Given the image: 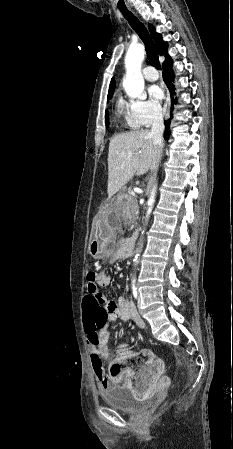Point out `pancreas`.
Masks as SVG:
<instances>
[{
    "label": "pancreas",
    "mask_w": 233,
    "mask_h": 449,
    "mask_svg": "<svg viewBox=\"0 0 233 449\" xmlns=\"http://www.w3.org/2000/svg\"><path fill=\"white\" fill-rule=\"evenodd\" d=\"M122 198L126 199L127 202L123 204L122 216L125 218L134 217L137 212L136 197L133 195H123Z\"/></svg>",
    "instance_id": "obj_1"
}]
</instances>
